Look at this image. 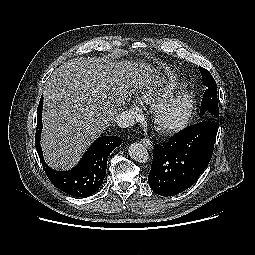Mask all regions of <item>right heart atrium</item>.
<instances>
[{
	"label": "right heart atrium",
	"mask_w": 255,
	"mask_h": 255,
	"mask_svg": "<svg viewBox=\"0 0 255 255\" xmlns=\"http://www.w3.org/2000/svg\"><path fill=\"white\" fill-rule=\"evenodd\" d=\"M129 114L131 117H135L138 114L137 108L133 107L130 109Z\"/></svg>",
	"instance_id": "obj_1"
}]
</instances>
